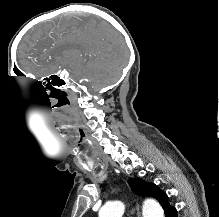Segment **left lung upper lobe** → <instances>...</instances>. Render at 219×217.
Returning <instances> with one entry per match:
<instances>
[{
	"instance_id": "left-lung-upper-lobe-1",
	"label": "left lung upper lobe",
	"mask_w": 219,
	"mask_h": 217,
	"mask_svg": "<svg viewBox=\"0 0 219 217\" xmlns=\"http://www.w3.org/2000/svg\"><path fill=\"white\" fill-rule=\"evenodd\" d=\"M129 184L131 187V190L139 196H150L159 201V203L162 205L163 209L167 208L169 206L167 200L168 196L163 193L158 187L153 183H147L144 182L138 178L136 179H129Z\"/></svg>"
}]
</instances>
